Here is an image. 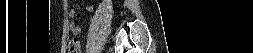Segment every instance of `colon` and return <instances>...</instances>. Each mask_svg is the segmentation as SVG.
<instances>
[{"mask_svg": "<svg viewBox=\"0 0 253 53\" xmlns=\"http://www.w3.org/2000/svg\"><path fill=\"white\" fill-rule=\"evenodd\" d=\"M69 53H81L80 43L76 38H73L69 42Z\"/></svg>", "mask_w": 253, "mask_h": 53, "instance_id": "obj_1", "label": "colon"}]
</instances>
